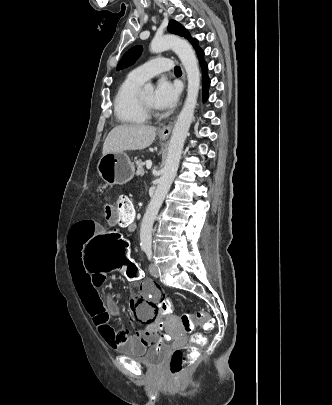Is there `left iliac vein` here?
Wrapping results in <instances>:
<instances>
[{"label": "left iliac vein", "instance_id": "obj_1", "mask_svg": "<svg viewBox=\"0 0 332 405\" xmlns=\"http://www.w3.org/2000/svg\"><path fill=\"white\" fill-rule=\"evenodd\" d=\"M149 271L152 276L159 277V269L154 263L150 264Z\"/></svg>", "mask_w": 332, "mask_h": 405}]
</instances>
